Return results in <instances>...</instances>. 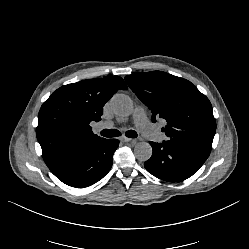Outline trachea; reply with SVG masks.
<instances>
[{"label":"trachea","instance_id":"trachea-1","mask_svg":"<svg viewBox=\"0 0 249 249\" xmlns=\"http://www.w3.org/2000/svg\"><path fill=\"white\" fill-rule=\"evenodd\" d=\"M101 135L107 138L119 137L121 136V132L117 129H104L101 131ZM125 136L129 138H136L137 133L134 130H128L125 132Z\"/></svg>","mask_w":249,"mask_h":249}]
</instances>
